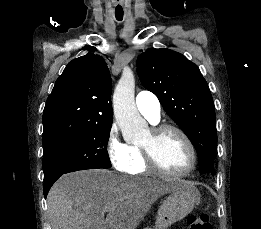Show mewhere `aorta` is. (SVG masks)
Listing matches in <instances>:
<instances>
[{
	"instance_id": "1",
	"label": "aorta",
	"mask_w": 261,
	"mask_h": 229,
	"mask_svg": "<svg viewBox=\"0 0 261 229\" xmlns=\"http://www.w3.org/2000/svg\"><path fill=\"white\" fill-rule=\"evenodd\" d=\"M134 88V74L129 66H125L113 94L114 115L122 133L129 135L131 141L141 143L149 139L150 133L146 121L137 110Z\"/></svg>"
}]
</instances>
